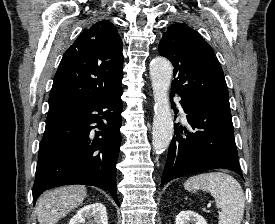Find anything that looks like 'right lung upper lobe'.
Listing matches in <instances>:
<instances>
[{
    "label": "right lung upper lobe",
    "instance_id": "right-lung-upper-lobe-1",
    "mask_svg": "<svg viewBox=\"0 0 275 224\" xmlns=\"http://www.w3.org/2000/svg\"><path fill=\"white\" fill-rule=\"evenodd\" d=\"M122 40L108 20L83 31L64 54L49 95V109L82 105L122 88Z\"/></svg>",
    "mask_w": 275,
    "mask_h": 224
}]
</instances>
